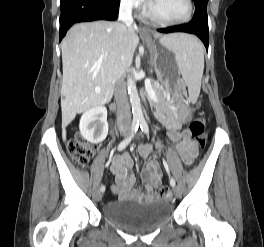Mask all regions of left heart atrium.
<instances>
[{
	"label": "left heart atrium",
	"mask_w": 264,
	"mask_h": 247,
	"mask_svg": "<svg viewBox=\"0 0 264 247\" xmlns=\"http://www.w3.org/2000/svg\"><path fill=\"white\" fill-rule=\"evenodd\" d=\"M148 3L152 4L154 2V0H147Z\"/></svg>",
	"instance_id": "39dd6f15"
}]
</instances>
